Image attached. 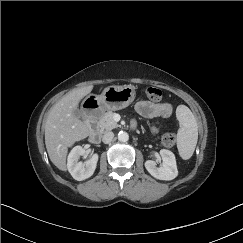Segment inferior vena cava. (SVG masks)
Here are the masks:
<instances>
[{
  "instance_id": "obj_1",
  "label": "inferior vena cava",
  "mask_w": 243,
  "mask_h": 243,
  "mask_svg": "<svg viewBox=\"0 0 243 243\" xmlns=\"http://www.w3.org/2000/svg\"><path fill=\"white\" fill-rule=\"evenodd\" d=\"M114 138V133L111 131L105 132L102 138L103 143L108 144L110 143Z\"/></svg>"
}]
</instances>
